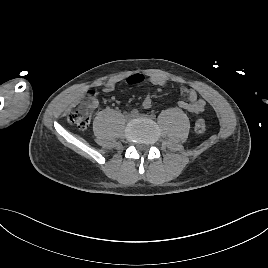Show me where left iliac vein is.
I'll use <instances>...</instances> for the list:
<instances>
[{
    "label": "left iliac vein",
    "mask_w": 268,
    "mask_h": 268,
    "mask_svg": "<svg viewBox=\"0 0 268 268\" xmlns=\"http://www.w3.org/2000/svg\"><path fill=\"white\" fill-rule=\"evenodd\" d=\"M135 117H138V118H150L148 115H145V114H138Z\"/></svg>",
    "instance_id": "obj_1"
}]
</instances>
